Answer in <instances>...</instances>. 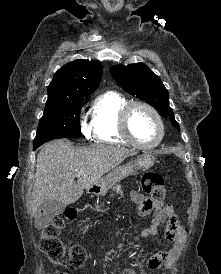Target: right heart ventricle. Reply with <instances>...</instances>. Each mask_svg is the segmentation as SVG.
<instances>
[{
  "label": "right heart ventricle",
  "mask_w": 221,
  "mask_h": 274,
  "mask_svg": "<svg viewBox=\"0 0 221 274\" xmlns=\"http://www.w3.org/2000/svg\"><path fill=\"white\" fill-rule=\"evenodd\" d=\"M130 101L121 93L107 91L99 95L92 106L91 130L98 142L129 145L120 130V114Z\"/></svg>",
  "instance_id": "1"
}]
</instances>
